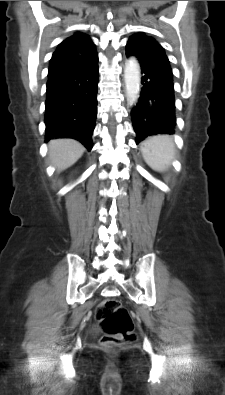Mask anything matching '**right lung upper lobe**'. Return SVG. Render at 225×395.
Returning <instances> with one entry per match:
<instances>
[{"instance_id": "cb5924a9", "label": "right lung upper lobe", "mask_w": 225, "mask_h": 395, "mask_svg": "<svg viewBox=\"0 0 225 395\" xmlns=\"http://www.w3.org/2000/svg\"><path fill=\"white\" fill-rule=\"evenodd\" d=\"M98 58L95 44L81 32L61 42L50 60L48 77L59 73L82 69Z\"/></svg>"}]
</instances>
